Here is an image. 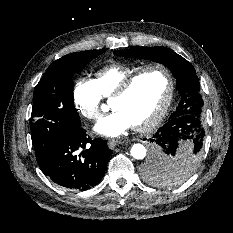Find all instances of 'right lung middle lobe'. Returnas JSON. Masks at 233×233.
Instances as JSON below:
<instances>
[{
	"mask_svg": "<svg viewBox=\"0 0 233 233\" xmlns=\"http://www.w3.org/2000/svg\"><path fill=\"white\" fill-rule=\"evenodd\" d=\"M103 52L87 50L64 56L59 63L48 67L36 86L30 128L39 166L44 164L65 133L81 126L74 107L73 74Z\"/></svg>",
	"mask_w": 233,
	"mask_h": 233,
	"instance_id": "dd1d6c3e",
	"label": "right lung middle lobe"
}]
</instances>
